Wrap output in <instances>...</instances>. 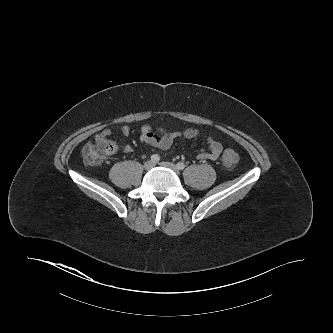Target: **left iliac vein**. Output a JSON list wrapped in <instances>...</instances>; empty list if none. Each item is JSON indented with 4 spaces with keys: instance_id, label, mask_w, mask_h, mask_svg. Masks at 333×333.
Returning a JSON list of instances; mask_svg holds the SVG:
<instances>
[{
    "instance_id": "4c4485c4",
    "label": "left iliac vein",
    "mask_w": 333,
    "mask_h": 333,
    "mask_svg": "<svg viewBox=\"0 0 333 333\" xmlns=\"http://www.w3.org/2000/svg\"><path fill=\"white\" fill-rule=\"evenodd\" d=\"M159 165L162 166V167L169 168V169L173 170L176 174L179 173V169L177 168V166L174 163L160 162Z\"/></svg>"
}]
</instances>
